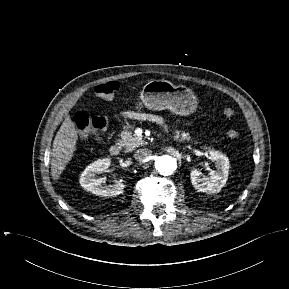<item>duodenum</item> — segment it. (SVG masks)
<instances>
[{"instance_id":"410a0bca","label":"duodenum","mask_w":289,"mask_h":289,"mask_svg":"<svg viewBox=\"0 0 289 289\" xmlns=\"http://www.w3.org/2000/svg\"><path fill=\"white\" fill-rule=\"evenodd\" d=\"M121 145L119 143H115L110 147V154L112 156H118L121 153Z\"/></svg>"}]
</instances>
